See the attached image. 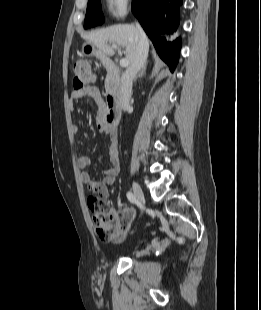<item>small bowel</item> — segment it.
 I'll use <instances>...</instances> for the list:
<instances>
[{"mask_svg": "<svg viewBox=\"0 0 261 310\" xmlns=\"http://www.w3.org/2000/svg\"><path fill=\"white\" fill-rule=\"evenodd\" d=\"M86 97L92 98L99 107V109L103 107L104 101L102 99L101 92L97 87H91L80 92L75 91L72 95L71 107H73L74 99H80ZM96 124L99 131L107 134L110 139V144L108 148V159L110 162V167L104 170L103 180L95 181L91 179L90 174L85 170L92 162L91 157L86 155L80 156L78 158V166L81 169L80 173L81 181L87 186V189L90 192L98 195L99 197L107 199L109 198L108 185L114 183L115 178L120 171L116 135L114 130H112L102 121L100 116L97 118ZM74 131H77L76 126L74 127ZM109 214L113 217H116L119 213L116 210L112 209L110 210Z\"/></svg>", "mask_w": 261, "mask_h": 310, "instance_id": "1", "label": "small bowel"}]
</instances>
